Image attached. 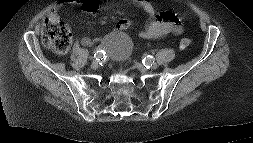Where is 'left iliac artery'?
<instances>
[{
	"instance_id": "obj_1",
	"label": "left iliac artery",
	"mask_w": 253,
	"mask_h": 143,
	"mask_svg": "<svg viewBox=\"0 0 253 143\" xmlns=\"http://www.w3.org/2000/svg\"><path fill=\"white\" fill-rule=\"evenodd\" d=\"M154 60L155 59H154L153 56L148 55V56H146V57L143 58L142 62H143L144 66L146 68H150V66L152 65V63H154Z\"/></svg>"
}]
</instances>
